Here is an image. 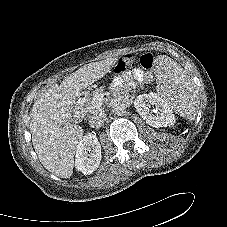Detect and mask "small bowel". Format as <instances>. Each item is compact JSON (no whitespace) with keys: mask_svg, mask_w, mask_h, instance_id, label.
<instances>
[{"mask_svg":"<svg viewBox=\"0 0 227 227\" xmlns=\"http://www.w3.org/2000/svg\"><path fill=\"white\" fill-rule=\"evenodd\" d=\"M133 77L138 82H148L150 80V76L139 69L134 70ZM128 80H129V76H125L124 81H128Z\"/></svg>","mask_w":227,"mask_h":227,"instance_id":"small-bowel-1","label":"small bowel"}]
</instances>
